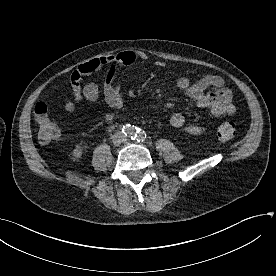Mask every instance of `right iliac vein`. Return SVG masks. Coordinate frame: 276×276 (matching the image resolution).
Segmentation results:
<instances>
[{
	"label": "right iliac vein",
	"instance_id": "obj_1",
	"mask_svg": "<svg viewBox=\"0 0 276 276\" xmlns=\"http://www.w3.org/2000/svg\"><path fill=\"white\" fill-rule=\"evenodd\" d=\"M112 142H113V144L114 145H119L120 144V137L118 136V135H114L113 137H112Z\"/></svg>",
	"mask_w": 276,
	"mask_h": 276
}]
</instances>
